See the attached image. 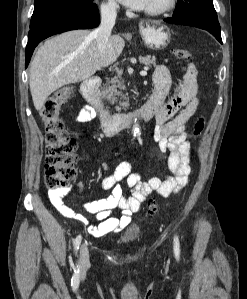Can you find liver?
I'll return each mask as SVG.
<instances>
[{"label": "liver", "mask_w": 247, "mask_h": 299, "mask_svg": "<svg viewBox=\"0 0 247 299\" xmlns=\"http://www.w3.org/2000/svg\"><path fill=\"white\" fill-rule=\"evenodd\" d=\"M125 46L119 35L109 37L106 56L101 58L96 38L89 30L61 33L38 49L30 67V91L34 106L41 110L57 89L84 81L115 62Z\"/></svg>", "instance_id": "1"}]
</instances>
